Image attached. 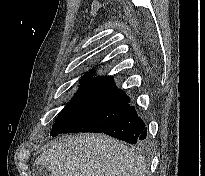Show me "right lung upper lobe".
Instances as JSON below:
<instances>
[{"label":"right lung upper lobe","instance_id":"cb5924a9","mask_svg":"<svg viewBox=\"0 0 205 176\" xmlns=\"http://www.w3.org/2000/svg\"><path fill=\"white\" fill-rule=\"evenodd\" d=\"M93 72L94 71L91 70L84 75L82 85L80 86V89L78 90L76 95L100 94L119 99H128L127 95L121 89H118L114 85V81L111 76H105L100 78L97 77L96 79H92L91 74H93Z\"/></svg>","mask_w":205,"mask_h":176}]
</instances>
